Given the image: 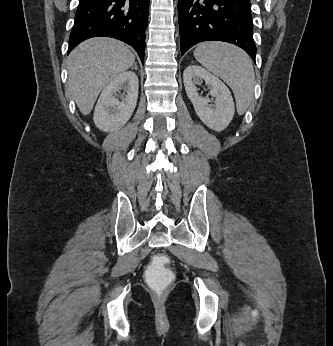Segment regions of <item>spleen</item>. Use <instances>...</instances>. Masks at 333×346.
Segmentation results:
<instances>
[{
  "mask_svg": "<svg viewBox=\"0 0 333 346\" xmlns=\"http://www.w3.org/2000/svg\"><path fill=\"white\" fill-rule=\"evenodd\" d=\"M194 57L231 87L237 111L244 114L254 96L255 73L250 57L242 49L222 42L201 43Z\"/></svg>",
  "mask_w": 333,
  "mask_h": 346,
  "instance_id": "3e777b00",
  "label": "spleen"
}]
</instances>
